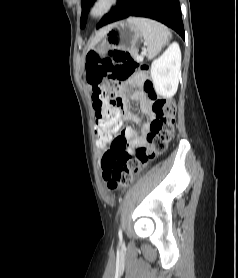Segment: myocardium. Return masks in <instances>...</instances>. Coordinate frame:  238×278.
<instances>
[{
  "mask_svg": "<svg viewBox=\"0 0 238 278\" xmlns=\"http://www.w3.org/2000/svg\"><path fill=\"white\" fill-rule=\"evenodd\" d=\"M118 2L119 0H93L89 7V16L94 20L102 19L116 7Z\"/></svg>",
  "mask_w": 238,
  "mask_h": 278,
  "instance_id": "1",
  "label": "myocardium"
}]
</instances>
